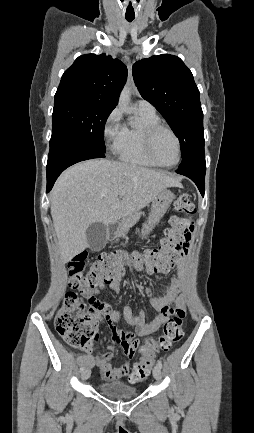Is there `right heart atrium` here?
<instances>
[{
    "mask_svg": "<svg viewBox=\"0 0 254 433\" xmlns=\"http://www.w3.org/2000/svg\"><path fill=\"white\" fill-rule=\"evenodd\" d=\"M122 129L121 112L118 108H114L106 117L103 125L104 140L112 149H115L116 142Z\"/></svg>",
    "mask_w": 254,
    "mask_h": 433,
    "instance_id": "right-heart-atrium-1",
    "label": "right heart atrium"
}]
</instances>
